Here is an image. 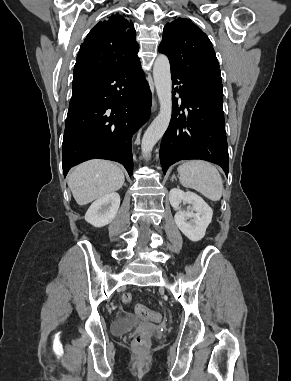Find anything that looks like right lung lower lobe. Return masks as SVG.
Here are the masks:
<instances>
[{
	"label": "right lung lower lobe",
	"mask_w": 291,
	"mask_h": 381,
	"mask_svg": "<svg viewBox=\"0 0 291 381\" xmlns=\"http://www.w3.org/2000/svg\"><path fill=\"white\" fill-rule=\"evenodd\" d=\"M62 144L63 173L92 158L133 173L131 139L149 119L151 92L139 58L112 70L74 69Z\"/></svg>",
	"instance_id": "98d812e1"
}]
</instances>
